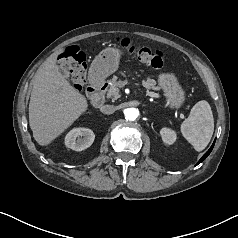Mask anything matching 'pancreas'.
I'll use <instances>...</instances> for the list:
<instances>
[{
	"label": "pancreas",
	"instance_id": "cf45deb5",
	"mask_svg": "<svg viewBox=\"0 0 238 238\" xmlns=\"http://www.w3.org/2000/svg\"><path fill=\"white\" fill-rule=\"evenodd\" d=\"M120 82L118 81V78L116 76H113L109 80L110 87L107 91V97L108 98H113V99H118L120 98ZM143 87H145L147 90H158V87L156 86V82L153 79L147 78V80L142 81Z\"/></svg>",
	"mask_w": 238,
	"mask_h": 238
}]
</instances>
